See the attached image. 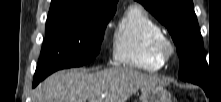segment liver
<instances>
[{"mask_svg": "<svg viewBox=\"0 0 221 102\" xmlns=\"http://www.w3.org/2000/svg\"><path fill=\"white\" fill-rule=\"evenodd\" d=\"M162 83L154 75L129 67L100 72L70 69L56 72L35 91L36 102H126L140 88Z\"/></svg>", "mask_w": 221, "mask_h": 102, "instance_id": "obj_1", "label": "liver"}]
</instances>
